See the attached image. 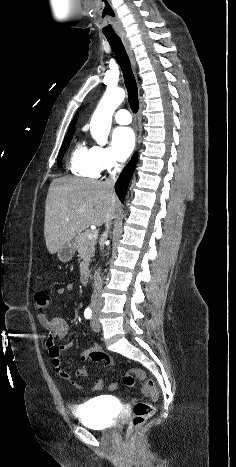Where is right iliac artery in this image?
<instances>
[{"label": "right iliac artery", "mask_w": 236, "mask_h": 467, "mask_svg": "<svg viewBox=\"0 0 236 467\" xmlns=\"http://www.w3.org/2000/svg\"><path fill=\"white\" fill-rule=\"evenodd\" d=\"M91 316H92V310L88 307V308H86L85 311H84V317H85L86 319H90Z\"/></svg>", "instance_id": "1"}]
</instances>
